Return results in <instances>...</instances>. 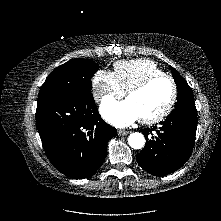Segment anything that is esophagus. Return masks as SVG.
<instances>
[{"mask_svg":"<svg viewBox=\"0 0 221 221\" xmlns=\"http://www.w3.org/2000/svg\"><path fill=\"white\" fill-rule=\"evenodd\" d=\"M129 134V131H126V130H118V135L119 136H124V135H127Z\"/></svg>","mask_w":221,"mask_h":221,"instance_id":"obj_1","label":"esophagus"}]
</instances>
